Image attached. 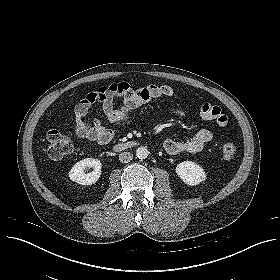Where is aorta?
<instances>
[{
    "label": "aorta",
    "mask_w": 280,
    "mask_h": 280,
    "mask_svg": "<svg viewBox=\"0 0 280 280\" xmlns=\"http://www.w3.org/2000/svg\"><path fill=\"white\" fill-rule=\"evenodd\" d=\"M148 155H149V151L146 147L141 146V147L137 148L136 156L139 159H141V160L146 159L148 157Z\"/></svg>",
    "instance_id": "obj_1"
}]
</instances>
